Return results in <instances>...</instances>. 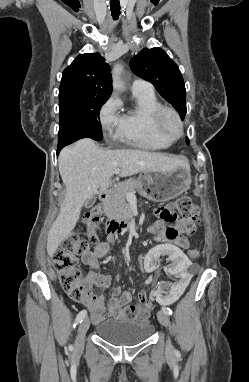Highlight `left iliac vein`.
<instances>
[{"label":"left iliac vein","mask_w":249,"mask_h":382,"mask_svg":"<svg viewBox=\"0 0 249 382\" xmlns=\"http://www.w3.org/2000/svg\"><path fill=\"white\" fill-rule=\"evenodd\" d=\"M157 317H158L159 322L162 325H164L165 327L169 326L170 319H169V316L164 311H159L157 313ZM166 349L168 351L172 350V344H171V341L169 338H168L167 343H166Z\"/></svg>","instance_id":"1"}]
</instances>
